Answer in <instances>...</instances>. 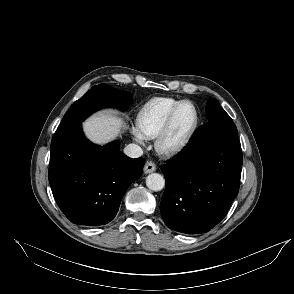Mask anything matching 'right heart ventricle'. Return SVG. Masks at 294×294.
Instances as JSON below:
<instances>
[{"label": "right heart ventricle", "instance_id": "e07e8e85", "mask_svg": "<svg viewBox=\"0 0 294 294\" xmlns=\"http://www.w3.org/2000/svg\"><path fill=\"white\" fill-rule=\"evenodd\" d=\"M182 100L157 97L149 100L137 115V129L146 139L155 138L172 109Z\"/></svg>", "mask_w": 294, "mask_h": 294}]
</instances>
